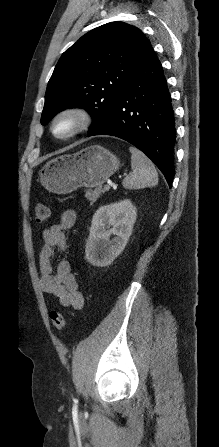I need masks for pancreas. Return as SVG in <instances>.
<instances>
[{
  "label": "pancreas",
  "instance_id": "obj_1",
  "mask_svg": "<svg viewBox=\"0 0 219 447\" xmlns=\"http://www.w3.org/2000/svg\"><path fill=\"white\" fill-rule=\"evenodd\" d=\"M85 193L86 198L94 203L104 193V190L101 187H97L94 190L87 189Z\"/></svg>",
  "mask_w": 219,
  "mask_h": 447
}]
</instances>
